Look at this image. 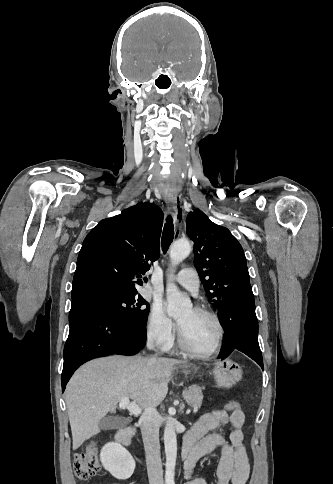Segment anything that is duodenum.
<instances>
[{
  "instance_id": "410a0bca",
  "label": "duodenum",
  "mask_w": 333,
  "mask_h": 484,
  "mask_svg": "<svg viewBox=\"0 0 333 484\" xmlns=\"http://www.w3.org/2000/svg\"><path fill=\"white\" fill-rule=\"evenodd\" d=\"M134 433V427L129 425L125 428L120 429L115 438L116 441L122 445L128 446L131 442V437ZM193 453V445L184 440L182 446V458L184 460L185 467L190 463Z\"/></svg>"
}]
</instances>
